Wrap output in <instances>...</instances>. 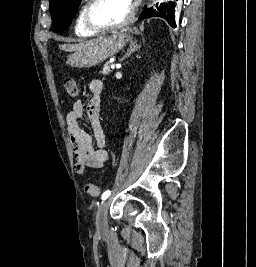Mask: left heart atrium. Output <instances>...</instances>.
Masks as SVG:
<instances>
[{"mask_svg": "<svg viewBox=\"0 0 256 267\" xmlns=\"http://www.w3.org/2000/svg\"><path fill=\"white\" fill-rule=\"evenodd\" d=\"M124 4H126L127 6H129L130 8H132V5H131V3H130L129 0H124Z\"/></svg>", "mask_w": 256, "mask_h": 267, "instance_id": "obj_1", "label": "left heart atrium"}]
</instances>
